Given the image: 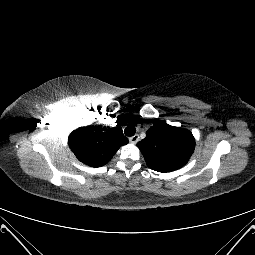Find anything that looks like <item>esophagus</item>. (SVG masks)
Wrapping results in <instances>:
<instances>
[{
	"mask_svg": "<svg viewBox=\"0 0 255 255\" xmlns=\"http://www.w3.org/2000/svg\"><path fill=\"white\" fill-rule=\"evenodd\" d=\"M129 141L132 143V144H136L138 141H139V135H134L132 137L129 138Z\"/></svg>",
	"mask_w": 255,
	"mask_h": 255,
	"instance_id": "1",
	"label": "esophagus"
}]
</instances>
